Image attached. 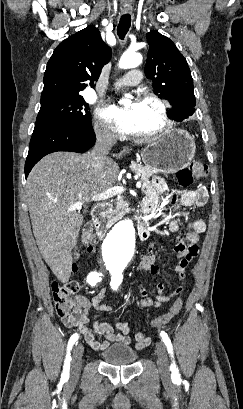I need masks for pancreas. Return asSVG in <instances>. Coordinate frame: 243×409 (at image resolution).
I'll return each instance as SVG.
<instances>
[{
  "instance_id": "pancreas-1",
  "label": "pancreas",
  "mask_w": 243,
  "mask_h": 409,
  "mask_svg": "<svg viewBox=\"0 0 243 409\" xmlns=\"http://www.w3.org/2000/svg\"><path fill=\"white\" fill-rule=\"evenodd\" d=\"M130 168L133 172L140 175V180L143 184L149 183V178L156 173L155 170L137 163H132ZM129 204L122 198L117 201L115 207L112 205L106 210L107 222L113 223L121 219L124 214L129 212Z\"/></svg>"
}]
</instances>
